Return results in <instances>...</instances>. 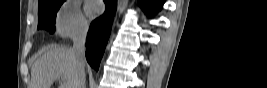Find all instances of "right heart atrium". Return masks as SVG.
Returning <instances> with one entry per match:
<instances>
[{
  "label": "right heart atrium",
  "instance_id": "d8ad5b80",
  "mask_svg": "<svg viewBox=\"0 0 267 88\" xmlns=\"http://www.w3.org/2000/svg\"><path fill=\"white\" fill-rule=\"evenodd\" d=\"M57 32L64 37L77 38L83 36L88 23L76 2H67L57 13L55 19Z\"/></svg>",
  "mask_w": 267,
  "mask_h": 88
}]
</instances>
